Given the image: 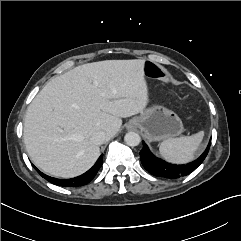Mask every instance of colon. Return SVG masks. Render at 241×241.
<instances>
[{
    "mask_svg": "<svg viewBox=\"0 0 241 241\" xmlns=\"http://www.w3.org/2000/svg\"><path fill=\"white\" fill-rule=\"evenodd\" d=\"M143 68V75L146 80L168 82L171 79V72L168 69H165V66L162 63H157L155 60H146Z\"/></svg>",
    "mask_w": 241,
    "mask_h": 241,
    "instance_id": "1",
    "label": "colon"
}]
</instances>
